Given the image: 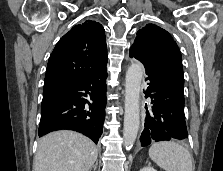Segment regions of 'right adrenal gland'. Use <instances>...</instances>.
<instances>
[{
    "mask_svg": "<svg viewBox=\"0 0 223 171\" xmlns=\"http://www.w3.org/2000/svg\"><path fill=\"white\" fill-rule=\"evenodd\" d=\"M97 165H98V160H96L95 164L92 166V168L90 169V171L92 169H94V171H96Z\"/></svg>",
    "mask_w": 223,
    "mask_h": 171,
    "instance_id": "obj_1",
    "label": "right adrenal gland"
}]
</instances>
